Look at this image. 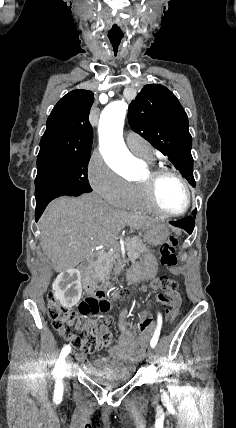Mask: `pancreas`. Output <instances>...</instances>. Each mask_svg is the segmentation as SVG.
I'll list each match as a JSON object with an SVG mask.
<instances>
[{"instance_id":"pancreas-1","label":"pancreas","mask_w":236,"mask_h":428,"mask_svg":"<svg viewBox=\"0 0 236 428\" xmlns=\"http://www.w3.org/2000/svg\"><path fill=\"white\" fill-rule=\"evenodd\" d=\"M125 252H127L128 260L135 262L145 252V244H142L138 238H126L124 242ZM97 276L101 280L103 288H110V274L114 264H122L120 246H116V250L111 254H103L98 258Z\"/></svg>"}]
</instances>
